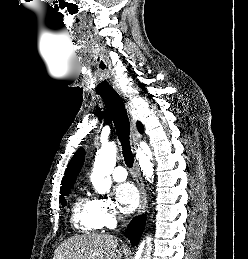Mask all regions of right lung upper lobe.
<instances>
[{"instance_id": "1", "label": "right lung upper lobe", "mask_w": 248, "mask_h": 259, "mask_svg": "<svg viewBox=\"0 0 248 259\" xmlns=\"http://www.w3.org/2000/svg\"><path fill=\"white\" fill-rule=\"evenodd\" d=\"M137 128L140 133H143V126L140 122L137 123ZM85 152L82 148L74 154L72 160L68 164V167L65 171V176L61 182V191L69 190L73 187L75 179L79 174L81 167L84 162Z\"/></svg>"}]
</instances>
